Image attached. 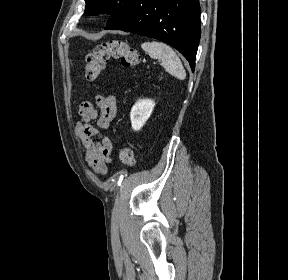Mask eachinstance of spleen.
I'll list each match as a JSON object with an SVG mask.
<instances>
[{
	"instance_id": "1",
	"label": "spleen",
	"mask_w": 288,
	"mask_h": 280,
	"mask_svg": "<svg viewBox=\"0 0 288 280\" xmlns=\"http://www.w3.org/2000/svg\"><path fill=\"white\" fill-rule=\"evenodd\" d=\"M141 47L151 58L160 59L168 73L180 80L186 78L182 62L170 46L162 42L151 41L143 43Z\"/></svg>"
}]
</instances>
